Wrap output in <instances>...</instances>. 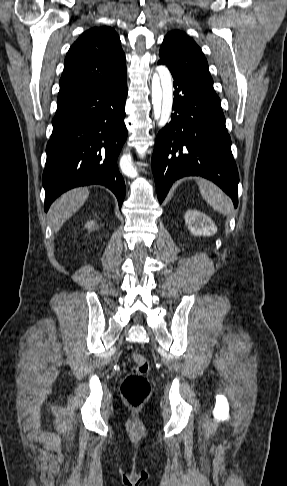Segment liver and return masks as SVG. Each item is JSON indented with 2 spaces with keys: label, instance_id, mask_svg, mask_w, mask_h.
<instances>
[{
  "label": "liver",
  "instance_id": "6515ba94",
  "mask_svg": "<svg viewBox=\"0 0 287 486\" xmlns=\"http://www.w3.org/2000/svg\"><path fill=\"white\" fill-rule=\"evenodd\" d=\"M88 196V188H76L61 195L53 203L49 216L55 232H58L63 224L83 206Z\"/></svg>",
  "mask_w": 287,
  "mask_h": 486
}]
</instances>
